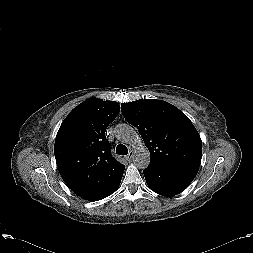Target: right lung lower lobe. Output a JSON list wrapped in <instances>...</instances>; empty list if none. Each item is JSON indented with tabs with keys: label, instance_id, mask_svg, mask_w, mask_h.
<instances>
[{
	"label": "right lung lower lobe",
	"instance_id": "right-lung-lower-lobe-1",
	"mask_svg": "<svg viewBox=\"0 0 253 253\" xmlns=\"http://www.w3.org/2000/svg\"><path fill=\"white\" fill-rule=\"evenodd\" d=\"M121 179H118L114 184H112L109 188L105 189L104 191L98 193L97 195H95L94 197H92L89 201H98L101 199H104L106 197H108L109 195H111L112 193H114L116 191V189L119 187Z\"/></svg>",
	"mask_w": 253,
	"mask_h": 253
}]
</instances>
